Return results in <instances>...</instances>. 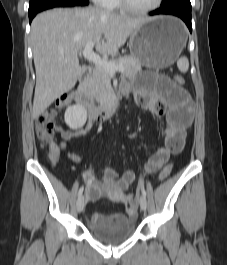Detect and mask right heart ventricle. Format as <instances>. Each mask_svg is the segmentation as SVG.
Listing matches in <instances>:
<instances>
[{
	"label": "right heart ventricle",
	"instance_id": "right-heart-ventricle-1",
	"mask_svg": "<svg viewBox=\"0 0 227 265\" xmlns=\"http://www.w3.org/2000/svg\"><path fill=\"white\" fill-rule=\"evenodd\" d=\"M120 8H122V7H121V5L119 3V0H111L110 1L108 9L117 10V9H120Z\"/></svg>",
	"mask_w": 227,
	"mask_h": 265
}]
</instances>
